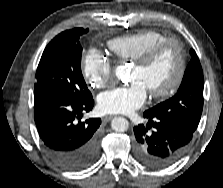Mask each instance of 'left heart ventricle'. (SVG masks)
<instances>
[{"mask_svg": "<svg viewBox=\"0 0 223 188\" xmlns=\"http://www.w3.org/2000/svg\"><path fill=\"white\" fill-rule=\"evenodd\" d=\"M177 70V52L174 47L165 48L146 67L133 66L129 80L139 81L147 91L165 88L174 78Z\"/></svg>", "mask_w": 223, "mask_h": 188, "instance_id": "1", "label": "left heart ventricle"}]
</instances>
